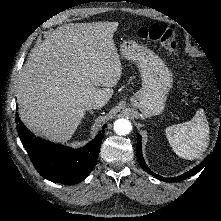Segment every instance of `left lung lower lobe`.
Masks as SVG:
<instances>
[{
	"label": "left lung lower lobe",
	"mask_w": 221,
	"mask_h": 221,
	"mask_svg": "<svg viewBox=\"0 0 221 221\" xmlns=\"http://www.w3.org/2000/svg\"><path fill=\"white\" fill-rule=\"evenodd\" d=\"M136 155H137V159H138V162L139 164L141 165V167L146 171L148 172L149 174H151L152 176L162 180V181H165V182H177V181H180V180H183V179H186L196 173H198L204 166H205V163L207 161V158L202 162L200 163L198 166H196L195 168H193L192 170L188 171L187 173H184L182 174L181 176H178V177H175V178H164V177H161L155 173H153L146 165L145 161H144V158L142 156V151H141V136L138 134L137 135V147H136Z\"/></svg>",
	"instance_id": "left-lung-lower-lobe-1"
}]
</instances>
